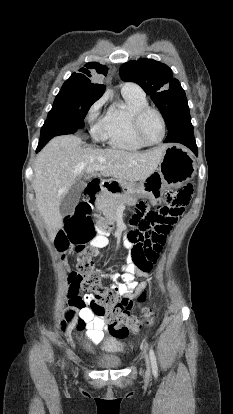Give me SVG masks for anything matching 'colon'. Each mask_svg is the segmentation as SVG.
I'll list each match as a JSON object with an SVG mask.
<instances>
[{
    "label": "colon",
    "mask_w": 233,
    "mask_h": 414,
    "mask_svg": "<svg viewBox=\"0 0 233 414\" xmlns=\"http://www.w3.org/2000/svg\"><path fill=\"white\" fill-rule=\"evenodd\" d=\"M192 186L186 185L178 192H171L167 197V205L159 209L136 212L130 219V223L136 228L130 230L126 235V243L130 246V257L133 263L141 270L150 271L156 262L158 252L165 243L167 232L170 231L174 222V214L180 207H185L190 200ZM95 238L93 221L88 207L83 204L77 207L75 213L65 220L64 229L56 238V246L64 251L70 244L80 250L81 258L77 269L85 274L81 288L93 293V299L97 305H102L106 312L104 321L109 331L120 337L129 332H134L142 324L151 325L154 321L153 310L144 308L142 310L143 320L132 315L131 310L134 301L131 298L114 293L110 287L102 283L99 271L95 269L94 257L98 251L92 245ZM147 298V292L137 298V303H142Z\"/></svg>",
    "instance_id": "obj_1"
}]
</instances>
